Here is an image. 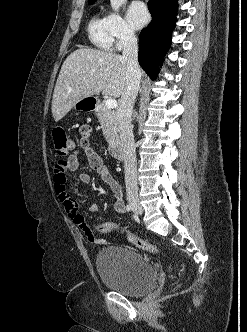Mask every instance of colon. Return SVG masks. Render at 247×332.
Instances as JSON below:
<instances>
[{"instance_id": "5ec220e1", "label": "colon", "mask_w": 247, "mask_h": 332, "mask_svg": "<svg viewBox=\"0 0 247 332\" xmlns=\"http://www.w3.org/2000/svg\"><path fill=\"white\" fill-rule=\"evenodd\" d=\"M53 142H54V148L57 156L59 157H66L70 155L74 148L75 143L74 140L71 138V136L62 128H56L53 131L52 134ZM96 228L102 232V233H112V232H121L125 233L128 241L132 243L135 247L144 250L149 251L152 253H160V250L153 244L129 233L122 229H120L115 223L113 222H101L97 224Z\"/></svg>"}]
</instances>
